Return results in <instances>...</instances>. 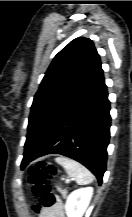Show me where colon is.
<instances>
[{
    "mask_svg": "<svg viewBox=\"0 0 132 217\" xmlns=\"http://www.w3.org/2000/svg\"><path fill=\"white\" fill-rule=\"evenodd\" d=\"M56 174V167L45 162H40L30 169L31 192L38 200V206L34 208L35 211H39L43 207H51L58 202L57 196L51 188V180Z\"/></svg>",
    "mask_w": 132,
    "mask_h": 217,
    "instance_id": "1",
    "label": "colon"
}]
</instances>
